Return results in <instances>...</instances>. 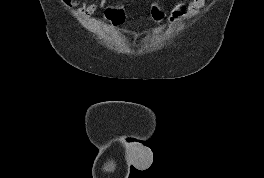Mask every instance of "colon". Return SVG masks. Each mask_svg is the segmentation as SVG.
<instances>
[{
	"label": "colon",
	"mask_w": 264,
	"mask_h": 178,
	"mask_svg": "<svg viewBox=\"0 0 264 178\" xmlns=\"http://www.w3.org/2000/svg\"><path fill=\"white\" fill-rule=\"evenodd\" d=\"M66 2L68 0H65ZM104 16L107 22L113 27L123 25L127 20V13L122 6L109 5L104 11ZM166 18L165 9L158 3H154L149 13V20L153 24H159Z\"/></svg>",
	"instance_id": "obj_1"
}]
</instances>
